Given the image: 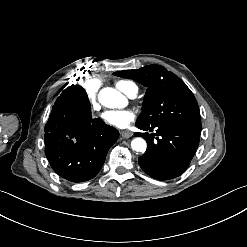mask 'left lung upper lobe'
I'll use <instances>...</instances> for the list:
<instances>
[{"label":"left lung upper lobe","instance_id":"obj_1","mask_svg":"<svg viewBox=\"0 0 247 247\" xmlns=\"http://www.w3.org/2000/svg\"><path fill=\"white\" fill-rule=\"evenodd\" d=\"M114 75L133 79L147 87L136 126L155 128L178 125L201 132L197 101L174 73L160 65H148L138 70L118 71Z\"/></svg>","mask_w":247,"mask_h":247}]
</instances>
